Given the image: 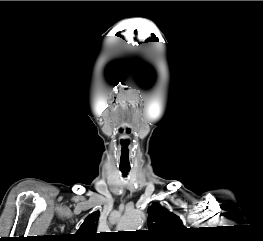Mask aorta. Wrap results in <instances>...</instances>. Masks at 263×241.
<instances>
[{"label": "aorta", "mask_w": 263, "mask_h": 241, "mask_svg": "<svg viewBox=\"0 0 263 241\" xmlns=\"http://www.w3.org/2000/svg\"><path fill=\"white\" fill-rule=\"evenodd\" d=\"M145 219V214L140 210H133L127 213L120 221L119 228L121 230L135 231L139 229Z\"/></svg>", "instance_id": "obj_1"}]
</instances>
